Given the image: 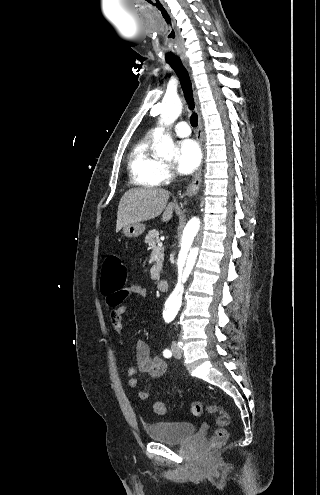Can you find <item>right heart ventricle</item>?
Instances as JSON below:
<instances>
[{
  "mask_svg": "<svg viewBox=\"0 0 320 495\" xmlns=\"http://www.w3.org/2000/svg\"><path fill=\"white\" fill-rule=\"evenodd\" d=\"M154 135L147 134L132 148L128 169L132 182L142 187H155L159 184L158 172L161 162L152 153Z\"/></svg>",
  "mask_w": 320,
  "mask_h": 495,
  "instance_id": "e07e8e85",
  "label": "right heart ventricle"
}]
</instances>
